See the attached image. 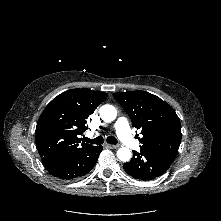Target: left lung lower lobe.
<instances>
[{"label":"left lung lower lobe","mask_w":221,"mask_h":221,"mask_svg":"<svg viewBox=\"0 0 221 221\" xmlns=\"http://www.w3.org/2000/svg\"><path fill=\"white\" fill-rule=\"evenodd\" d=\"M133 158L123 165L124 170L139 180H151L163 175L171 166L175 157L157 153L148 149L133 151Z\"/></svg>","instance_id":"left-lung-lower-lobe-1"}]
</instances>
